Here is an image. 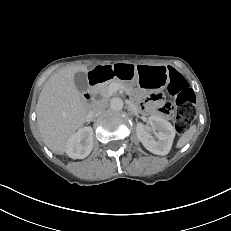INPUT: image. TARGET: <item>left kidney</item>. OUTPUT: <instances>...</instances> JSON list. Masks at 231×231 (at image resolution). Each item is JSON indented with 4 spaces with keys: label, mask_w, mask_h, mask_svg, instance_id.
<instances>
[{
    "label": "left kidney",
    "mask_w": 231,
    "mask_h": 231,
    "mask_svg": "<svg viewBox=\"0 0 231 231\" xmlns=\"http://www.w3.org/2000/svg\"><path fill=\"white\" fill-rule=\"evenodd\" d=\"M148 122L153 130H157L156 138L149 135L145 126L138 123L136 134L143 146L153 154L167 155L172 147L176 130L170 122L159 116H150Z\"/></svg>",
    "instance_id": "left-kidney-1"
}]
</instances>
